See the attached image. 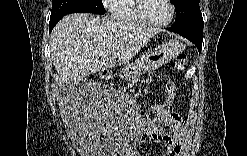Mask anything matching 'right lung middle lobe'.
I'll list each match as a JSON object with an SVG mask.
<instances>
[{
	"label": "right lung middle lobe",
	"instance_id": "right-lung-middle-lobe-1",
	"mask_svg": "<svg viewBox=\"0 0 247 156\" xmlns=\"http://www.w3.org/2000/svg\"><path fill=\"white\" fill-rule=\"evenodd\" d=\"M71 13L104 14L101 0H53L50 20L60 19Z\"/></svg>",
	"mask_w": 247,
	"mask_h": 156
}]
</instances>
